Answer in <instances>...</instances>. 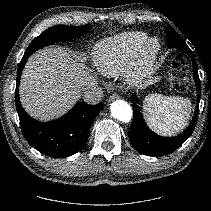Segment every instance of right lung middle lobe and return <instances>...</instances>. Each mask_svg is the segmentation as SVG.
Instances as JSON below:
<instances>
[{
  "label": "right lung middle lobe",
  "mask_w": 211,
  "mask_h": 211,
  "mask_svg": "<svg viewBox=\"0 0 211 211\" xmlns=\"http://www.w3.org/2000/svg\"><path fill=\"white\" fill-rule=\"evenodd\" d=\"M90 30L89 25L83 26H65L59 25L45 30L36 37L28 46L25 54L31 55L38 49L61 40H71L82 36Z\"/></svg>",
  "instance_id": "right-lung-middle-lobe-1"
}]
</instances>
